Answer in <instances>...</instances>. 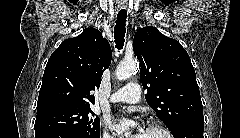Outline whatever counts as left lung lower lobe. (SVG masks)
Returning a JSON list of instances; mask_svg holds the SVG:
<instances>
[{
	"label": "left lung lower lobe",
	"instance_id": "left-lung-lower-lobe-1",
	"mask_svg": "<svg viewBox=\"0 0 240 138\" xmlns=\"http://www.w3.org/2000/svg\"><path fill=\"white\" fill-rule=\"evenodd\" d=\"M204 119L195 118L181 124L173 132L174 138H204Z\"/></svg>",
	"mask_w": 240,
	"mask_h": 138
}]
</instances>
